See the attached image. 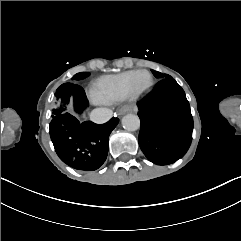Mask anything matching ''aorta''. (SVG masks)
Instances as JSON below:
<instances>
[{"instance_id":"aorta-1","label":"aorta","mask_w":241,"mask_h":241,"mask_svg":"<svg viewBox=\"0 0 241 241\" xmlns=\"http://www.w3.org/2000/svg\"><path fill=\"white\" fill-rule=\"evenodd\" d=\"M122 126L127 131H136L140 128V119L135 114H127L122 118Z\"/></svg>"}]
</instances>
